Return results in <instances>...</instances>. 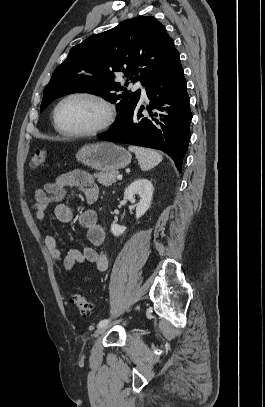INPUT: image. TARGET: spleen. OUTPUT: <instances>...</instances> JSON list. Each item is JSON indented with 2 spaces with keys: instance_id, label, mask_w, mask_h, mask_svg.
I'll return each instance as SVG.
<instances>
[{
  "instance_id": "spleen-1",
  "label": "spleen",
  "mask_w": 265,
  "mask_h": 407,
  "mask_svg": "<svg viewBox=\"0 0 265 407\" xmlns=\"http://www.w3.org/2000/svg\"><path fill=\"white\" fill-rule=\"evenodd\" d=\"M128 149L136 155L143 171H148L154 168L163 159L162 155L152 149L138 146H129Z\"/></svg>"
}]
</instances>
